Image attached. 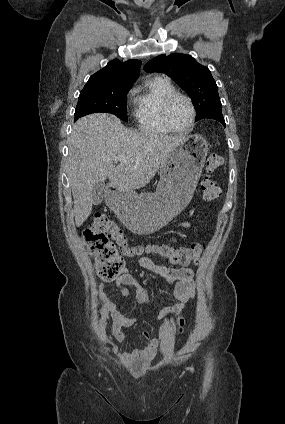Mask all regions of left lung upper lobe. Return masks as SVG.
<instances>
[{
	"mask_svg": "<svg viewBox=\"0 0 285 424\" xmlns=\"http://www.w3.org/2000/svg\"><path fill=\"white\" fill-rule=\"evenodd\" d=\"M144 69L147 72L165 73L174 80L192 99L197 111L196 121L222 110L217 85L210 70L197 63L192 56L178 53L160 55L146 63Z\"/></svg>",
	"mask_w": 285,
	"mask_h": 424,
	"instance_id": "obj_1",
	"label": "left lung upper lobe"
}]
</instances>
